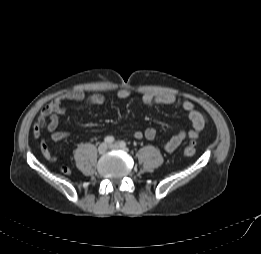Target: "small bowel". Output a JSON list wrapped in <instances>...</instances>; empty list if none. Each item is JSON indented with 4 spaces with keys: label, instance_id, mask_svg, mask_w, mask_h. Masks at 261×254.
Segmentation results:
<instances>
[{
    "label": "small bowel",
    "instance_id": "small-bowel-1",
    "mask_svg": "<svg viewBox=\"0 0 261 254\" xmlns=\"http://www.w3.org/2000/svg\"><path fill=\"white\" fill-rule=\"evenodd\" d=\"M129 96L130 91L127 89H120L117 92V97L120 99H126ZM84 100H87L94 105H102L105 102V97L99 93L87 96L81 90L67 91L56 96L40 111V114L32 128L33 137L35 139L40 138L43 128L47 127V130L54 141H61L67 138L69 133L59 130L60 117L66 112L64 103L66 101L80 102ZM141 101L147 107L155 105H176L181 107L188 115L191 122V128H183L177 134L168 139L163 145L166 152L175 151L186 138L196 139L207 124V118L203 113L195 108L191 101L180 99L171 93L147 91L142 94ZM134 137L136 139L146 138L147 140H153L156 137V130L152 127H149L144 131L138 130L134 132ZM40 147L46 160L52 163L56 162V158L51 154L45 140H41Z\"/></svg>",
    "mask_w": 261,
    "mask_h": 254
}]
</instances>
